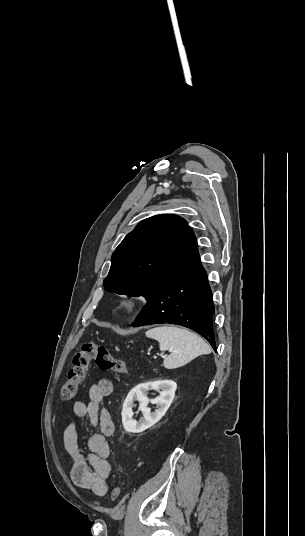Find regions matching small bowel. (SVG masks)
Segmentation results:
<instances>
[{
    "label": "small bowel",
    "mask_w": 305,
    "mask_h": 536,
    "mask_svg": "<svg viewBox=\"0 0 305 536\" xmlns=\"http://www.w3.org/2000/svg\"><path fill=\"white\" fill-rule=\"evenodd\" d=\"M114 389V382L110 378H102L90 387L87 402L76 401L73 404L76 419L88 417L91 424L99 426V431L92 433L88 439L89 454L84 455L79 447L76 420L70 422L63 432L64 447L72 462L73 483L97 496H105L109 489L111 465L108 461L110 446L107 437L113 433L114 424L109 412L101 405Z\"/></svg>",
    "instance_id": "c3829d8e"
}]
</instances>
